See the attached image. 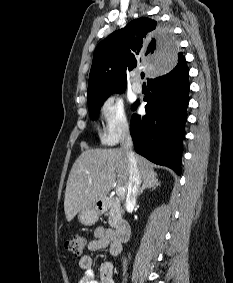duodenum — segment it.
<instances>
[{"instance_id": "duodenum-1", "label": "duodenum", "mask_w": 233, "mask_h": 283, "mask_svg": "<svg viewBox=\"0 0 233 283\" xmlns=\"http://www.w3.org/2000/svg\"><path fill=\"white\" fill-rule=\"evenodd\" d=\"M109 205V202L102 201L98 203V209L100 211H105ZM130 236V227L129 225L121 221L116 225L114 232L115 246L117 250H121V245L123 242L127 241Z\"/></svg>"}]
</instances>
